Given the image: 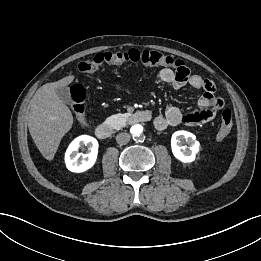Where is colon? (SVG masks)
<instances>
[{"label":"colon","mask_w":261,"mask_h":261,"mask_svg":"<svg viewBox=\"0 0 261 261\" xmlns=\"http://www.w3.org/2000/svg\"><path fill=\"white\" fill-rule=\"evenodd\" d=\"M124 63H138L145 66H168L180 69L183 62L158 51L130 49L127 51L100 52L79 63L81 73L91 74L96 72L102 65H121ZM86 91L80 84H75L70 89L71 108L76 118L83 123L85 120L84 101ZM233 126V115L230 109H225L221 115V125L216 140L222 142L230 134Z\"/></svg>","instance_id":"1"}]
</instances>
